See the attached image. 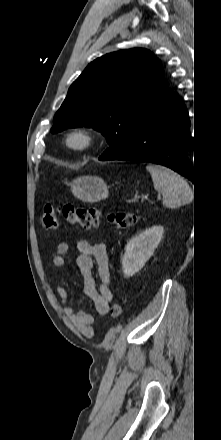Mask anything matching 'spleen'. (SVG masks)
<instances>
[{"mask_svg":"<svg viewBox=\"0 0 221 440\" xmlns=\"http://www.w3.org/2000/svg\"><path fill=\"white\" fill-rule=\"evenodd\" d=\"M154 188L163 194V205L176 208L188 204L193 197L191 187L176 172L160 165H147Z\"/></svg>","mask_w":221,"mask_h":440,"instance_id":"obj_1","label":"spleen"}]
</instances>
